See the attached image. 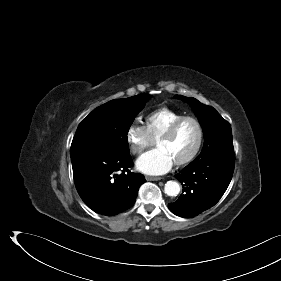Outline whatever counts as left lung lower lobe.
<instances>
[{
	"label": "left lung lower lobe",
	"mask_w": 281,
	"mask_h": 281,
	"mask_svg": "<svg viewBox=\"0 0 281 281\" xmlns=\"http://www.w3.org/2000/svg\"><path fill=\"white\" fill-rule=\"evenodd\" d=\"M235 155L219 154L196 158L175 177L182 183V195L168 204L183 218L195 217L214 206L232 179Z\"/></svg>",
	"instance_id": "obj_1"
}]
</instances>
